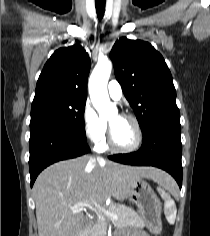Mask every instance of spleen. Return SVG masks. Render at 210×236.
<instances>
[{
  "label": "spleen",
  "instance_id": "1",
  "mask_svg": "<svg viewBox=\"0 0 210 236\" xmlns=\"http://www.w3.org/2000/svg\"><path fill=\"white\" fill-rule=\"evenodd\" d=\"M160 186H162L163 188L158 187L157 190L160 193L162 199L164 200V213L166 219L170 224H173L175 222L177 213L176 204L175 201L171 198V196L165 192V190L173 191L175 187L174 181H163L160 183Z\"/></svg>",
  "mask_w": 210,
  "mask_h": 236
}]
</instances>
